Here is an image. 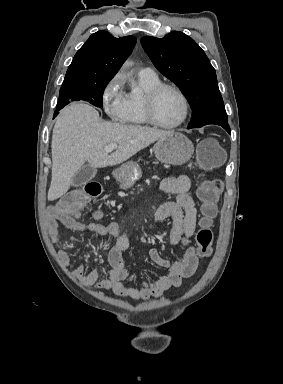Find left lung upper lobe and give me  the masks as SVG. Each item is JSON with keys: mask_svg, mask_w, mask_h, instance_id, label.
<instances>
[{"mask_svg": "<svg viewBox=\"0 0 283 384\" xmlns=\"http://www.w3.org/2000/svg\"><path fill=\"white\" fill-rule=\"evenodd\" d=\"M141 43L155 67L186 96L192 109L188 128L227 123L215 69L192 38L173 31L163 38L145 36Z\"/></svg>", "mask_w": 283, "mask_h": 384, "instance_id": "obj_1", "label": "left lung upper lobe"}]
</instances>
